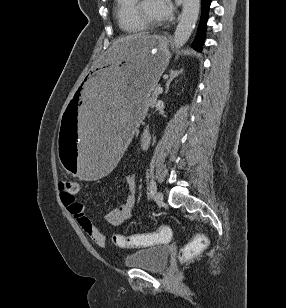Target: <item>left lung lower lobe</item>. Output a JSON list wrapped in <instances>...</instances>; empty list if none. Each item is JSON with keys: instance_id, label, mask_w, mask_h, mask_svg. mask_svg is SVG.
<instances>
[{"instance_id": "0a47b994", "label": "left lung lower lobe", "mask_w": 286, "mask_h": 308, "mask_svg": "<svg viewBox=\"0 0 286 308\" xmlns=\"http://www.w3.org/2000/svg\"><path fill=\"white\" fill-rule=\"evenodd\" d=\"M210 2L211 0H201V4H202L201 20H200V24L198 27L197 36L195 38V41L192 44V47L198 51H201V45L205 39V28H206V22H207Z\"/></svg>"}]
</instances>
